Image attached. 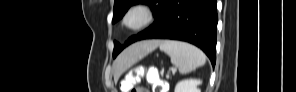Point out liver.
<instances>
[{"mask_svg": "<svg viewBox=\"0 0 296 92\" xmlns=\"http://www.w3.org/2000/svg\"><path fill=\"white\" fill-rule=\"evenodd\" d=\"M159 44L156 40L142 41L125 49L113 63L114 80L117 81L123 72L155 50Z\"/></svg>", "mask_w": 296, "mask_h": 92, "instance_id": "1", "label": "liver"}]
</instances>
